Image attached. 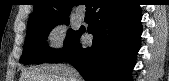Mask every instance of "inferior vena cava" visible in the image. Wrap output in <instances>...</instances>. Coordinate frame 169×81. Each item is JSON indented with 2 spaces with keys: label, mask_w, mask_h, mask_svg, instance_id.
I'll return each mask as SVG.
<instances>
[{
  "label": "inferior vena cava",
  "mask_w": 169,
  "mask_h": 81,
  "mask_svg": "<svg viewBox=\"0 0 169 81\" xmlns=\"http://www.w3.org/2000/svg\"><path fill=\"white\" fill-rule=\"evenodd\" d=\"M70 75H71L72 81H78L79 73L73 67H71Z\"/></svg>",
  "instance_id": "inferior-vena-cava-1"
}]
</instances>
